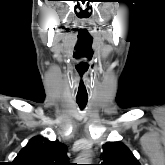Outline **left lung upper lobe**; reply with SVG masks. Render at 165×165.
<instances>
[{
	"instance_id": "obj_1",
	"label": "left lung upper lobe",
	"mask_w": 165,
	"mask_h": 165,
	"mask_svg": "<svg viewBox=\"0 0 165 165\" xmlns=\"http://www.w3.org/2000/svg\"><path fill=\"white\" fill-rule=\"evenodd\" d=\"M100 165H140L132 152L121 142H107Z\"/></svg>"
}]
</instances>
